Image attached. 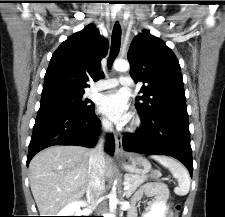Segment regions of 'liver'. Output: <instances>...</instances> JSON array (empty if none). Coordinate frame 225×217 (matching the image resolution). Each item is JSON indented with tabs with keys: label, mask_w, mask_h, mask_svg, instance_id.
Returning <instances> with one entry per match:
<instances>
[{
	"label": "liver",
	"mask_w": 225,
	"mask_h": 217,
	"mask_svg": "<svg viewBox=\"0 0 225 217\" xmlns=\"http://www.w3.org/2000/svg\"><path fill=\"white\" fill-rule=\"evenodd\" d=\"M90 149L51 146L29 164L30 187L40 216H55L61 208L80 199L90 179ZM104 180L113 174L112 159L105 157Z\"/></svg>",
	"instance_id": "6515ba94"
}]
</instances>
